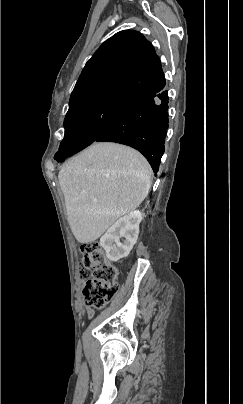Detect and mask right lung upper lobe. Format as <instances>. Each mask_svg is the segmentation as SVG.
<instances>
[{
	"label": "right lung upper lobe",
	"mask_w": 243,
	"mask_h": 404,
	"mask_svg": "<svg viewBox=\"0 0 243 404\" xmlns=\"http://www.w3.org/2000/svg\"><path fill=\"white\" fill-rule=\"evenodd\" d=\"M165 77L154 47L132 30L116 33L87 61L70 96L69 110L105 100H130L161 90Z\"/></svg>",
	"instance_id": "1"
}]
</instances>
